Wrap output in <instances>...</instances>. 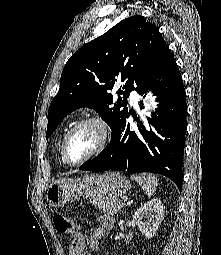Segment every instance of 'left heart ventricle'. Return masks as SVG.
<instances>
[{
  "mask_svg": "<svg viewBox=\"0 0 221 255\" xmlns=\"http://www.w3.org/2000/svg\"><path fill=\"white\" fill-rule=\"evenodd\" d=\"M100 133L97 127L87 125L78 129L67 145V156L71 162H76L89 155L98 145Z\"/></svg>",
  "mask_w": 221,
  "mask_h": 255,
  "instance_id": "left-heart-ventricle-1",
  "label": "left heart ventricle"
}]
</instances>
